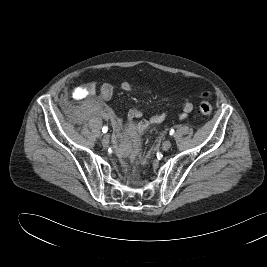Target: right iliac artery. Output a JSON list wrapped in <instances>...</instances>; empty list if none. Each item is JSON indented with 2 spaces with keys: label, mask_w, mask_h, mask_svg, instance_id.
Listing matches in <instances>:
<instances>
[{
  "label": "right iliac artery",
  "mask_w": 267,
  "mask_h": 267,
  "mask_svg": "<svg viewBox=\"0 0 267 267\" xmlns=\"http://www.w3.org/2000/svg\"><path fill=\"white\" fill-rule=\"evenodd\" d=\"M108 131V127L107 126H104L103 128H102V132L103 133H106Z\"/></svg>",
  "instance_id": "1"
}]
</instances>
